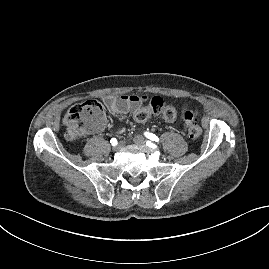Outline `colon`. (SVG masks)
I'll use <instances>...</instances> for the list:
<instances>
[{
    "instance_id": "5ec220e1",
    "label": "colon",
    "mask_w": 269,
    "mask_h": 269,
    "mask_svg": "<svg viewBox=\"0 0 269 269\" xmlns=\"http://www.w3.org/2000/svg\"><path fill=\"white\" fill-rule=\"evenodd\" d=\"M152 115H158L167 121H174L177 112L173 104L164 101L160 97H154L147 105H141L135 118L138 121H145ZM183 119L190 139L196 140L202 130L197 123L194 113L186 110L183 113ZM104 123V108L101 102L97 100H88L69 109L63 118L65 126V136L68 140H75L88 132L99 130Z\"/></svg>"
}]
</instances>
